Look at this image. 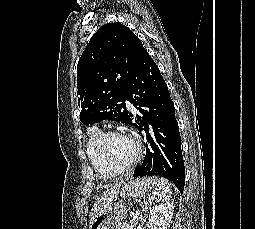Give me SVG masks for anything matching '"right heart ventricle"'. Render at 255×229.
Instances as JSON below:
<instances>
[{
	"mask_svg": "<svg viewBox=\"0 0 255 229\" xmlns=\"http://www.w3.org/2000/svg\"><path fill=\"white\" fill-rule=\"evenodd\" d=\"M101 135L97 127H92L89 130L86 152L88 160L98 175L105 179H112L120 174V172L110 169L96 154L95 144Z\"/></svg>",
	"mask_w": 255,
	"mask_h": 229,
	"instance_id": "1",
	"label": "right heart ventricle"
}]
</instances>
